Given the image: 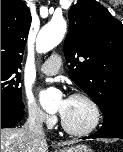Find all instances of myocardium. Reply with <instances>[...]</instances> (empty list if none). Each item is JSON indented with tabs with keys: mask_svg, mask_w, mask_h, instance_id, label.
<instances>
[{
	"mask_svg": "<svg viewBox=\"0 0 123 152\" xmlns=\"http://www.w3.org/2000/svg\"><path fill=\"white\" fill-rule=\"evenodd\" d=\"M70 98L85 100L91 106L93 110V121L87 128L82 129V130H76L69 127L64 121V119L61 117V126L63 130L66 133L73 136H77V137H83V136H87L93 133L98 128L102 119V112H101L100 106L98 105V103L93 97H91L90 95L84 92H75L71 94Z\"/></svg>",
	"mask_w": 123,
	"mask_h": 152,
	"instance_id": "f54148a6",
	"label": "myocardium"
}]
</instances>
